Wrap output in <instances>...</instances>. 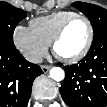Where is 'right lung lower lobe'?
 I'll return each mask as SVG.
<instances>
[{
  "mask_svg": "<svg viewBox=\"0 0 107 107\" xmlns=\"http://www.w3.org/2000/svg\"><path fill=\"white\" fill-rule=\"evenodd\" d=\"M42 73L17 49L0 46V107H26L33 81Z\"/></svg>",
  "mask_w": 107,
  "mask_h": 107,
  "instance_id": "1",
  "label": "right lung lower lobe"
}]
</instances>
